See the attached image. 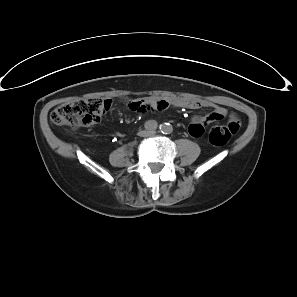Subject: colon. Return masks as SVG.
<instances>
[{
  "label": "colon",
  "mask_w": 297,
  "mask_h": 297,
  "mask_svg": "<svg viewBox=\"0 0 297 297\" xmlns=\"http://www.w3.org/2000/svg\"><path fill=\"white\" fill-rule=\"evenodd\" d=\"M111 101L103 98H89L71 101L58 106L51 113L50 120L59 126H91L99 123L109 110ZM241 122L235 116L227 124L216 125L210 130L209 141L216 146L226 144L238 132Z\"/></svg>",
  "instance_id": "5ec220e1"
}]
</instances>
